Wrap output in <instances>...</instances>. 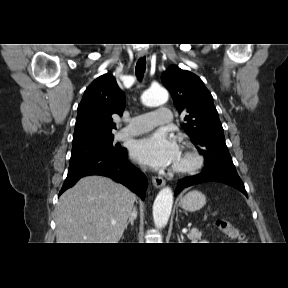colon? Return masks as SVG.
Returning <instances> with one entry per match:
<instances>
[{
    "mask_svg": "<svg viewBox=\"0 0 288 288\" xmlns=\"http://www.w3.org/2000/svg\"><path fill=\"white\" fill-rule=\"evenodd\" d=\"M216 225L222 231L225 237L230 240L239 241L244 238L243 233H241L226 219L217 220Z\"/></svg>",
    "mask_w": 288,
    "mask_h": 288,
    "instance_id": "colon-1",
    "label": "colon"
}]
</instances>
